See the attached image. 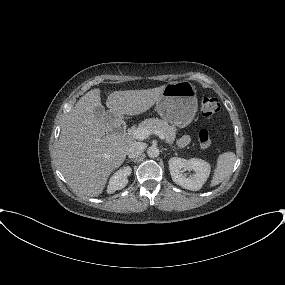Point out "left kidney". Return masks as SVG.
<instances>
[{
    "label": "left kidney",
    "instance_id": "5707ae66",
    "mask_svg": "<svg viewBox=\"0 0 285 285\" xmlns=\"http://www.w3.org/2000/svg\"><path fill=\"white\" fill-rule=\"evenodd\" d=\"M168 164L174 183L191 191L200 190L211 171L210 164L198 158L186 160L183 158L172 157L168 161ZM185 170H193L194 174L187 177L183 173Z\"/></svg>",
    "mask_w": 285,
    "mask_h": 285
}]
</instances>
